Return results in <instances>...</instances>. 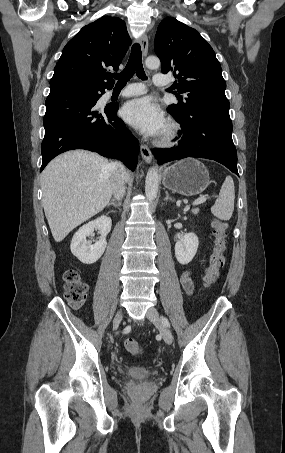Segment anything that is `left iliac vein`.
Returning <instances> with one entry per match:
<instances>
[{
	"mask_svg": "<svg viewBox=\"0 0 285 453\" xmlns=\"http://www.w3.org/2000/svg\"><path fill=\"white\" fill-rule=\"evenodd\" d=\"M146 316L160 330L164 341L168 345L172 344L173 335L171 331L165 325L162 324L157 309L154 307L149 308L146 313Z\"/></svg>",
	"mask_w": 285,
	"mask_h": 453,
	"instance_id": "left-iliac-vein-1",
	"label": "left iliac vein"
}]
</instances>
